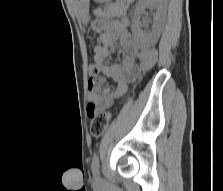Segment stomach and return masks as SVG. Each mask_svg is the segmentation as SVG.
<instances>
[{
    "instance_id": "1",
    "label": "stomach",
    "mask_w": 223,
    "mask_h": 191,
    "mask_svg": "<svg viewBox=\"0 0 223 191\" xmlns=\"http://www.w3.org/2000/svg\"><path fill=\"white\" fill-rule=\"evenodd\" d=\"M98 2H103L105 0H96ZM76 9L78 11L79 16L83 21L88 20V14H89V4L90 0H74Z\"/></svg>"
}]
</instances>
